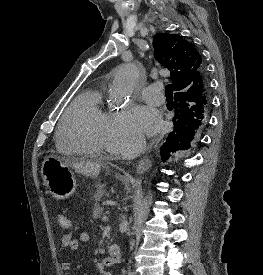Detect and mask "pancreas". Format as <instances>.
Returning <instances> with one entry per match:
<instances>
[{"label":"pancreas","mask_w":263,"mask_h":275,"mask_svg":"<svg viewBox=\"0 0 263 275\" xmlns=\"http://www.w3.org/2000/svg\"><path fill=\"white\" fill-rule=\"evenodd\" d=\"M103 193L102 192H97L95 195H94V200H95V204H94V207H93V214H92V217L94 219H97L99 218L102 213H103V208L98 204V201H100L101 197H102Z\"/></svg>","instance_id":"pancreas-1"}]
</instances>
